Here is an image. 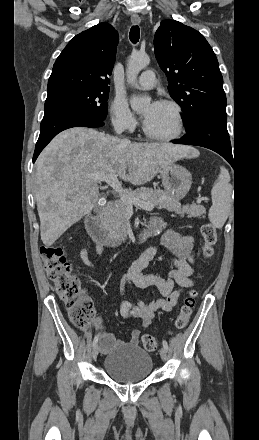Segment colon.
Segmentation results:
<instances>
[{
  "label": "colon",
  "mask_w": 259,
  "mask_h": 440,
  "mask_svg": "<svg viewBox=\"0 0 259 440\" xmlns=\"http://www.w3.org/2000/svg\"><path fill=\"white\" fill-rule=\"evenodd\" d=\"M201 234L203 237V256L210 258L217 242V231L213 225L207 223L202 226ZM40 254L47 276L54 283L59 297L65 303L70 320L77 327H85L93 315V303L83 294L81 283L78 277L72 273L65 250L61 246L45 245L40 248ZM195 299L196 292L192 290L185 298L176 318L175 326L177 329H183L187 326L195 306ZM142 344L146 350L154 351L158 348L159 341L151 335H144Z\"/></svg>",
  "instance_id": "colon-1"
}]
</instances>
